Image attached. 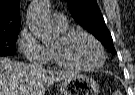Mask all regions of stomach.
Masks as SVG:
<instances>
[{
    "instance_id": "0dacf381",
    "label": "stomach",
    "mask_w": 135,
    "mask_h": 95,
    "mask_svg": "<svg viewBox=\"0 0 135 95\" xmlns=\"http://www.w3.org/2000/svg\"><path fill=\"white\" fill-rule=\"evenodd\" d=\"M62 95H98L97 82L85 74H75L63 80L60 85Z\"/></svg>"
}]
</instances>
